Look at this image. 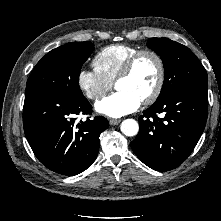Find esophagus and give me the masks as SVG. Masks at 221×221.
I'll list each match as a JSON object with an SVG mask.
<instances>
[{"instance_id":"1","label":"esophagus","mask_w":221,"mask_h":221,"mask_svg":"<svg viewBox=\"0 0 221 221\" xmlns=\"http://www.w3.org/2000/svg\"><path fill=\"white\" fill-rule=\"evenodd\" d=\"M120 122H121L120 119H110V120H109V123H110L111 125H118Z\"/></svg>"}]
</instances>
